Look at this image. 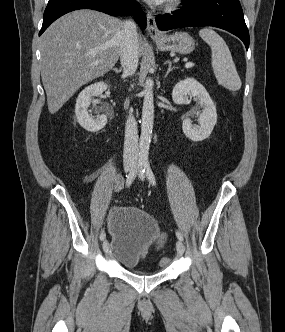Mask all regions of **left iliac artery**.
I'll return each instance as SVG.
<instances>
[{
	"instance_id": "1",
	"label": "left iliac artery",
	"mask_w": 285,
	"mask_h": 332,
	"mask_svg": "<svg viewBox=\"0 0 285 332\" xmlns=\"http://www.w3.org/2000/svg\"><path fill=\"white\" fill-rule=\"evenodd\" d=\"M143 172L146 173L150 183L153 185V186H156V179H155V176L153 174V171L150 167V163L149 161H144L143 162ZM176 236L177 238L180 240V241H183V235L181 232L179 231H176Z\"/></svg>"
}]
</instances>
